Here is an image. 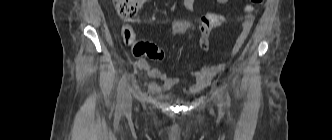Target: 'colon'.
<instances>
[{
    "instance_id": "1",
    "label": "colon",
    "mask_w": 332,
    "mask_h": 140,
    "mask_svg": "<svg viewBox=\"0 0 332 140\" xmlns=\"http://www.w3.org/2000/svg\"><path fill=\"white\" fill-rule=\"evenodd\" d=\"M146 0H113L117 13L125 18H133L142 8ZM264 0H250L248 10L254 6L260 5ZM224 22L221 15L216 13L206 14L198 23L188 20H175L171 23L170 31L173 35H184L193 33L198 35H207L213 29L218 28ZM124 40L128 45L132 46L133 53L136 56H144L151 60H161L164 52L161 48L151 42L136 40L131 28L124 29Z\"/></svg>"
}]
</instances>
